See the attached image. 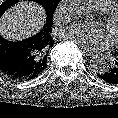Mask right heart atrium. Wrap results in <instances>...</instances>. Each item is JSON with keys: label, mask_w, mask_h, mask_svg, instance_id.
<instances>
[{"label": "right heart atrium", "mask_w": 118, "mask_h": 118, "mask_svg": "<svg viewBox=\"0 0 118 118\" xmlns=\"http://www.w3.org/2000/svg\"><path fill=\"white\" fill-rule=\"evenodd\" d=\"M60 14H61V8H59V9L55 12V15H54L55 19H59Z\"/></svg>", "instance_id": "obj_1"}]
</instances>
